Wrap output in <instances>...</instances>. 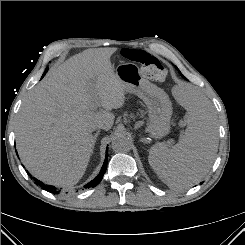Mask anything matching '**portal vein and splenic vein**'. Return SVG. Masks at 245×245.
I'll return each instance as SVG.
<instances>
[{"instance_id":"1","label":"portal vein and splenic vein","mask_w":245,"mask_h":245,"mask_svg":"<svg viewBox=\"0 0 245 245\" xmlns=\"http://www.w3.org/2000/svg\"><path fill=\"white\" fill-rule=\"evenodd\" d=\"M99 105H100L99 102L95 101V103H94L95 108H97Z\"/></svg>"}]
</instances>
